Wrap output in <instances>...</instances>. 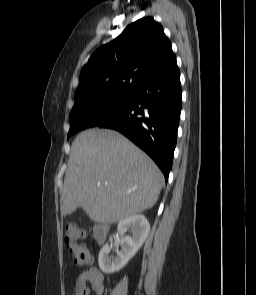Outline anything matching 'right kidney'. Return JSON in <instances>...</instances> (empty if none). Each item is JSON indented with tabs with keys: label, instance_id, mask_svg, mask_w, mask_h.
I'll return each instance as SVG.
<instances>
[{
	"label": "right kidney",
	"instance_id": "ca27d5eb",
	"mask_svg": "<svg viewBox=\"0 0 256 295\" xmlns=\"http://www.w3.org/2000/svg\"><path fill=\"white\" fill-rule=\"evenodd\" d=\"M128 229H131L132 236L123 237ZM117 231L122 238L121 249L116 248V256H109L111 247L108 244L103 246L99 253L98 264L105 274L118 272L129 262L146 240L150 224L144 215L137 214L121 220L118 223Z\"/></svg>",
	"mask_w": 256,
	"mask_h": 295
}]
</instances>
